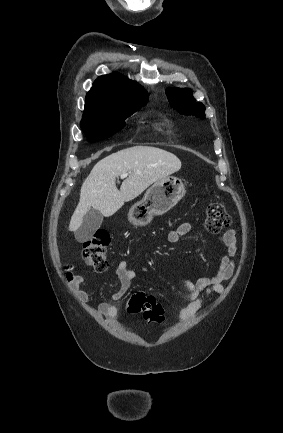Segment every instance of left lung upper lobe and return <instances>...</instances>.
<instances>
[{
  "instance_id": "obj_1",
  "label": "left lung upper lobe",
  "mask_w": 283,
  "mask_h": 433,
  "mask_svg": "<svg viewBox=\"0 0 283 433\" xmlns=\"http://www.w3.org/2000/svg\"><path fill=\"white\" fill-rule=\"evenodd\" d=\"M166 93L172 107L178 112L201 119L205 117V106L201 102H196L190 89L171 88Z\"/></svg>"
}]
</instances>
